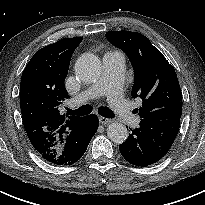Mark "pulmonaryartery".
<instances>
[{"instance_id": "obj_1", "label": "pulmonary artery", "mask_w": 205, "mask_h": 205, "mask_svg": "<svg viewBox=\"0 0 205 205\" xmlns=\"http://www.w3.org/2000/svg\"><path fill=\"white\" fill-rule=\"evenodd\" d=\"M125 72V57L121 52H108L103 56V71L100 77L81 92L73 104L106 95L112 108L121 121L129 126L138 127L139 117L134 115L122 95Z\"/></svg>"}]
</instances>
